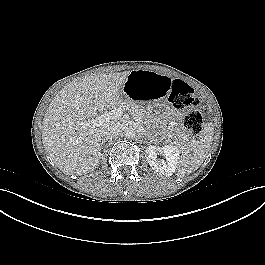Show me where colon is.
<instances>
[{"label": "colon", "mask_w": 265, "mask_h": 265, "mask_svg": "<svg viewBox=\"0 0 265 265\" xmlns=\"http://www.w3.org/2000/svg\"><path fill=\"white\" fill-rule=\"evenodd\" d=\"M170 102L177 108L196 107L199 100L194 90L184 81L174 80L171 83ZM184 130L192 135H198L203 128V116L198 110L188 113L183 120Z\"/></svg>", "instance_id": "obj_1"}]
</instances>
